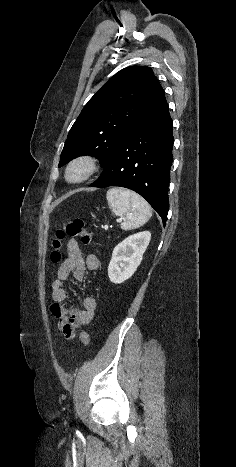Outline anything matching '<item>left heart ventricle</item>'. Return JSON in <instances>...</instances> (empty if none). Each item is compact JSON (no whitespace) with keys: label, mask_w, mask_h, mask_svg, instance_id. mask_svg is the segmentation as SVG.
Returning <instances> with one entry per match:
<instances>
[{"label":"left heart ventricle","mask_w":236,"mask_h":467,"mask_svg":"<svg viewBox=\"0 0 236 467\" xmlns=\"http://www.w3.org/2000/svg\"><path fill=\"white\" fill-rule=\"evenodd\" d=\"M82 173H83V169L81 167H76L71 171L70 178L76 179V178L80 177L82 175Z\"/></svg>","instance_id":"obj_1"}]
</instances>
